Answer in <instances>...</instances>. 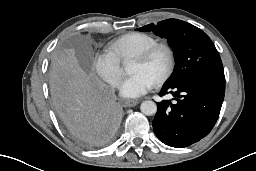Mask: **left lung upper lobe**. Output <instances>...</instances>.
<instances>
[{
  "instance_id": "5c2ea615",
  "label": "left lung upper lobe",
  "mask_w": 256,
  "mask_h": 171,
  "mask_svg": "<svg viewBox=\"0 0 256 171\" xmlns=\"http://www.w3.org/2000/svg\"><path fill=\"white\" fill-rule=\"evenodd\" d=\"M137 30L153 31L167 38L172 46L177 63L165 85L178 83L191 75L224 74L220 56L211 39L196 26L177 19H167Z\"/></svg>"
}]
</instances>
